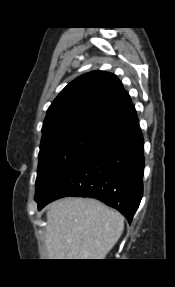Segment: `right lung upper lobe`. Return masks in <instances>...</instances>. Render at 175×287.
<instances>
[{
    "instance_id": "1",
    "label": "right lung upper lobe",
    "mask_w": 175,
    "mask_h": 287,
    "mask_svg": "<svg viewBox=\"0 0 175 287\" xmlns=\"http://www.w3.org/2000/svg\"><path fill=\"white\" fill-rule=\"evenodd\" d=\"M134 115L135 107L119 79L108 72L92 71L69 83L52 102L42 132L75 123L116 126Z\"/></svg>"
}]
</instances>
